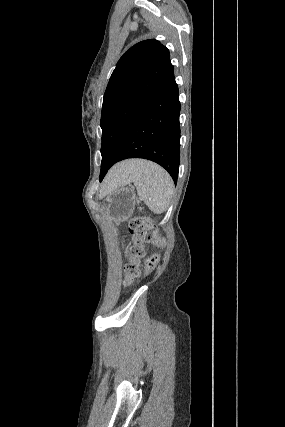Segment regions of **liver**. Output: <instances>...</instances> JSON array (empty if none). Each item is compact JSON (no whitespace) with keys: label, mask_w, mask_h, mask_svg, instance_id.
Returning <instances> with one entry per match:
<instances>
[{"label":"liver","mask_w":285,"mask_h":427,"mask_svg":"<svg viewBox=\"0 0 285 427\" xmlns=\"http://www.w3.org/2000/svg\"><path fill=\"white\" fill-rule=\"evenodd\" d=\"M139 162V160H129L114 166L102 184V192L107 194L116 187L126 185L125 183L129 180L133 168Z\"/></svg>","instance_id":"obj_1"}]
</instances>
